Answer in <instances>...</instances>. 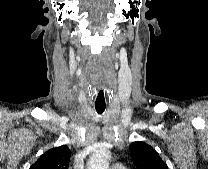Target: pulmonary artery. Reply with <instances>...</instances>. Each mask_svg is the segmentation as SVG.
I'll list each match as a JSON object with an SVG mask.
<instances>
[{
    "label": "pulmonary artery",
    "instance_id": "1",
    "mask_svg": "<svg viewBox=\"0 0 208 169\" xmlns=\"http://www.w3.org/2000/svg\"><path fill=\"white\" fill-rule=\"evenodd\" d=\"M111 169H126V166L123 164H114Z\"/></svg>",
    "mask_w": 208,
    "mask_h": 169
}]
</instances>
